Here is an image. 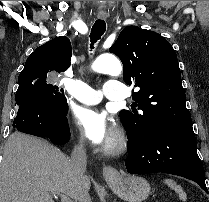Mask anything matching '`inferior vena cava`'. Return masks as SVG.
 Returning <instances> with one entry per match:
<instances>
[{"label":"inferior vena cava","mask_w":209,"mask_h":202,"mask_svg":"<svg viewBox=\"0 0 209 202\" xmlns=\"http://www.w3.org/2000/svg\"><path fill=\"white\" fill-rule=\"evenodd\" d=\"M71 165L74 175L78 179H82L86 171L87 166V156L86 150L82 142L74 147L71 154ZM79 202H92L91 198L83 187L79 189Z\"/></svg>","instance_id":"obj_1"}]
</instances>
